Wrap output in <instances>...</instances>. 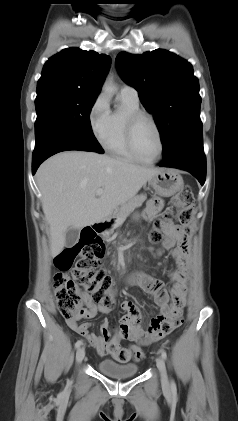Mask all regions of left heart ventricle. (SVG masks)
I'll use <instances>...</instances> for the list:
<instances>
[{
  "label": "left heart ventricle",
  "instance_id": "b2bd125f",
  "mask_svg": "<svg viewBox=\"0 0 238 421\" xmlns=\"http://www.w3.org/2000/svg\"><path fill=\"white\" fill-rule=\"evenodd\" d=\"M134 143L138 154L145 160H152L159 152V141L155 128L147 119H141L134 133Z\"/></svg>",
  "mask_w": 238,
  "mask_h": 421
}]
</instances>
